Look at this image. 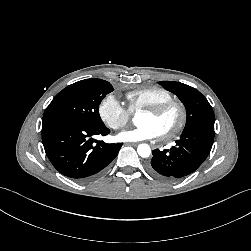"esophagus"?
Returning <instances> with one entry per match:
<instances>
[{"instance_id": "34e87169", "label": "esophagus", "mask_w": 251, "mask_h": 251, "mask_svg": "<svg viewBox=\"0 0 251 251\" xmlns=\"http://www.w3.org/2000/svg\"><path fill=\"white\" fill-rule=\"evenodd\" d=\"M127 145H132V146H137L139 143L138 142H127Z\"/></svg>"}]
</instances>
